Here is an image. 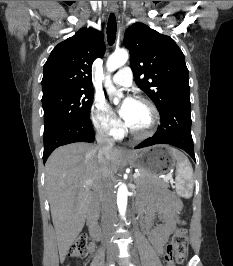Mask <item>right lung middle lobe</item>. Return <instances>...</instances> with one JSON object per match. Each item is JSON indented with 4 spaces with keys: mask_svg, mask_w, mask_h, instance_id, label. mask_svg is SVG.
<instances>
[{
    "mask_svg": "<svg viewBox=\"0 0 233 266\" xmlns=\"http://www.w3.org/2000/svg\"><path fill=\"white\" fill-rule=\"evenodd\" d=\"M93 97L92 88L43 95L44 132L64 123L90 119Z\"/></svg>",
    "mask_w": 233,
    "mask_h": 266,
    "instance_id": "1",
    "label": "right lung middle lobe"
}]
</instances>
